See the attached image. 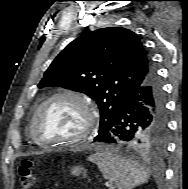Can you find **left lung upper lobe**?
I'll use <instances>...</instances> for the list:
<instances>
[{
    "label": "left lung upper lobe",
    "instance_id": "obj_1",
    "mask_svg": "<svg viewBox=\"0 0 188 189\" xmlns=\"http://www.w3.org/2000/svg\"><path fill=\"white\" fill-rule=\"evenodd\" d=\"M153 71L152 60L134 32L108 27L72 41L54 59L38 86H61L94 99L101 116L97 139L112 127L134 88ZM164 139L165 131L146 130L131 146L160 150Z\"/></svg>",
    "mask_w": 188,
    "mask_h": 189
}]
</instances>
